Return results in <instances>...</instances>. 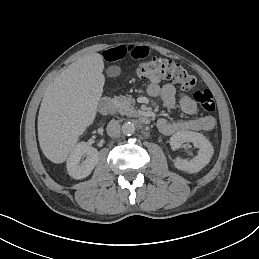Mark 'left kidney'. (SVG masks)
<instances>
[{
  "instance_id": "left-kidney-1",
  "label": "left kidney",
  "mask_w": 259,
  "mask_h": 259,
  "mask_svg": "<svg viewBox=\"0 0 259 259\" xmlns=\"http://www.w3.org/2000/svg\"><path fill=\"white\" fill-rule=\"evenodd\" d=\"M185 142H192L195 147L199 148L198 155L191 161L176 158L174 165L177 169L184 170L189 173L199 172L210 162L214 153L213 146L204 135L192 131H179L170 138V146L172 150L179 149Z\"/></svg>"
}]
</instances>
